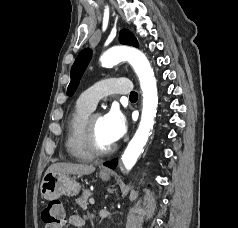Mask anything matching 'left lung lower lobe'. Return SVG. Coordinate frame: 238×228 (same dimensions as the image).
<instances>
[{
  "mask_svg": "<svg viewBox=\"0 0 238 228\" xmlns=\"http://www.w3.org/2000/svg\"><path fill=\"white\" fill-rule=\"evenodd\" d=\"M117 163H118V159H114L112 161L105 163L104 165L114 169L117 166Z\"/></svg>",
  "mask_w": 238,
  "mask_h": 228,
  "instance_id": "left-lung-lower-lobe-1",
  "label": "left lung lower lobe"
}]
</instances>
